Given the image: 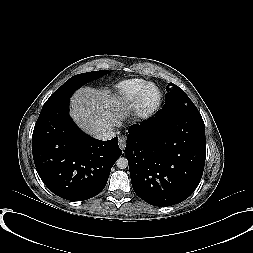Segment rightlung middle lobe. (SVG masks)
<instances>
[{
  "label": "right lung middle lobe",
  "mask_w": 253,
  "mask_h": 253,
  "mask_svg": "<svg viewBox=\"0 0 253 253\" xmlns=\"http://www.w3.org/2000/svg\"><path fill=\"white\" fill-rule=\"evenodd\" d=\"M106 73H108L107 70L92 71L71 77L49 97V99L43 105L42 111L69 101L72 94L83 84L93 81L105 75Z\"/></svg>",
  "instance_id": "right-lung-middle-lobe-1"
}]
</instances>
